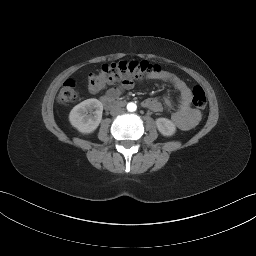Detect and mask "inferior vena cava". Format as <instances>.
Listing matches in <instances>:
<instances>
[{"mask_svg": "<svg viewBox=\"0 0 256 256\" xmlns=\"http://www.w3.org/2000/svg\"><path fill=\"white\" fill-rule=\"evenodd\" d=\"M124 112V109L120 108V107H117V108H114L111 110V115H118V114H121Z\"/></svg>", "mask_w": 256, "mask_h": 256, "instance_id": "1", "label": "inferior vena cava"}]
</instances>
